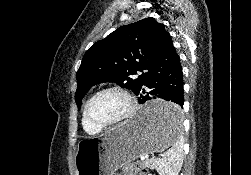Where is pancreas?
I'll list each match as a JSON object with an SVG mask.
<instances>
[{
  "label": "pancreas",
  "instance_id": "1",
  "mask_svg": "<svg viewBox=\"0 0 251 175\" xmlns=\"http://www.w3.org/2000/svg\"><path fill=\"white\" fill-rule=\"evenodd\" d=\"M154 159H144L143 163L146 167H152L151 163H153Z\"/></svg>",
  "mask_w": 251,
  "mask_h": 175
}]
</instances>
